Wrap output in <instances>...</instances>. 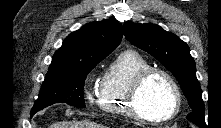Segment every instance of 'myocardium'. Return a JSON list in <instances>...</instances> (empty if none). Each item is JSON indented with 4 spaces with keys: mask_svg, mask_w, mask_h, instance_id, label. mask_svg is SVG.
Returning <instances> with one entry per match:
<instances>
[{
    "mask_svg": "<svg viewBox=\"0 0 221 128\" xmlns=\"http://www.w3.org/2000/svg\"><path fill=\"white\" fill-rule=\"evenodd\" d=\"M154 75H162L169 83L172 96H173V104L168 112L158 118H152L144 114L139 106H138V95L145 84V82ZM128 109L130 114L138 120L151 123V124H162L171 119H173L181 109V93L178 87L176 80L169 74L167 71L150 67L144 71H142L133 81L129 94H128Z\"/></svg>",
    "mask_w": 221,
    "mask_h": 128,
    "instance_id": "myocardium-1",
    "label": "myocardium"
}]
</instances>
